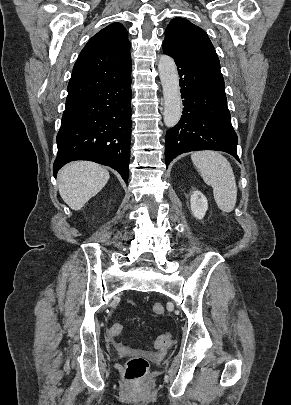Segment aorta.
I'll list each match as a JSON object with an SVG mask.
<instances>
[{"mask_svg":"<svg viewBox=\"0 0 291 405\" xmlns=\"http://www.w3.org/2000/svg\"><path fill=\"white\" fill-rule=\"evenodd\" d=\"M158 71L164 96V123L167 127H174L182 115V99L173 58L162 55L158 62Z\"/></svg>","mask_w":291,"mask_h":405,"instance_id":"1","label":"aorta"}]
</instances>
